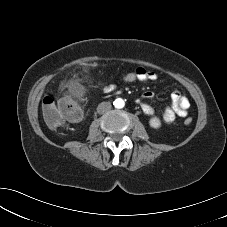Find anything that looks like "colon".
<instances>
[{
	"label": "colon",
	"instance_id": "obj_1",
	"mask_svg": "<svg viewBox=\"0 0 227 227\" xmlns=\"http://www.w3.org/2000/svg\"><path fill=\"white\" fill-rule=\"evenodd\" d=\"M137 70H129L121 73L120 80L125 83L139 81ZM43 117L49 127L53 129L63 128L67 122H75L81 118V108L71 98H61L58 101L52 94H47L42 101ZM185 124H190L192 118L185 114Z\"/></svg>",
	"mask_w": 227,
	"mask_h": 227
}]
</instances>
